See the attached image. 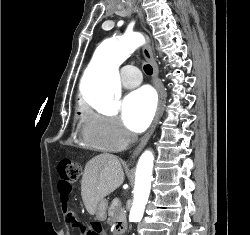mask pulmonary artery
I'll return each mask as SVG.
<instances>
[{"mask_svg": "<svg viewBox=\"0 0 250 235\" xmlns=\"http://www.w3.org/2000/svg\"><path fill=\"white\" fill-rule=\"evenodd\" d=\"M142 81L141 73L136 66L126 65L122 68L121 83L125 88H134Z\"/></svg>", "mask_w": 250, "mask_h": 235, "instance_id": "obj_1", "label": "pulmonary artery"}]
</instances>
